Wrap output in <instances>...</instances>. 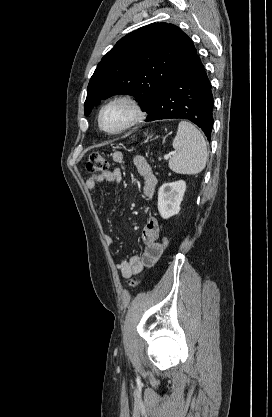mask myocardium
<instances>
[{
    "label": "myocardium",
    "mask_w": 272,
    "mask_h": 417,
    "mask_svg": "<svg viewBox=\"0 0 272 417\" xmlns=\"http://www.w3.org/2000/svg\"><path fill=\"white\" fill-rule=\"evenodd\" d=\"M115 104L127 105L132 111V116L129 121L120 128L115 130H108L103 126V114L107 108ZM144 118L145 112L139 100L131 94H120L109 99L101 107L98 113V126L104 133L108 135H119L139 125L144 120Z\"/></svg>",
    "instance_id": "1"
}]
</instances>
